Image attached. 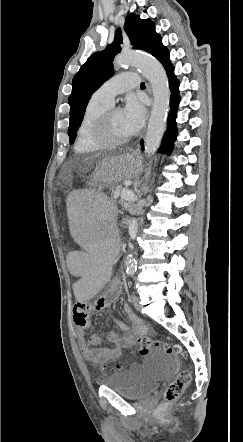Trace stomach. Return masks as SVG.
<instances>
[{
	"instance_id": "obj_1",
	"label": "stomach",
	"mask_w": 243,
	"mask_h": 442,
	"mask_svg": "<svg viewBox=\"0 0 243 442\" xmlns=\"http://www.w3.org/2000/svg\"><path fill=\"white\" fill-rule=\"evenodd\" d=\"M140 160L134 154L104 159L94 170L92 183H107L109 186L123 179L137 176L140 172Z\"/></svg>"
}]
</instances>
